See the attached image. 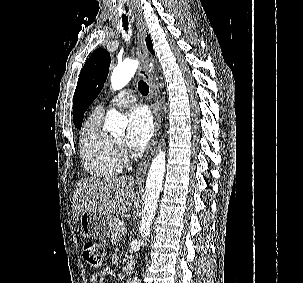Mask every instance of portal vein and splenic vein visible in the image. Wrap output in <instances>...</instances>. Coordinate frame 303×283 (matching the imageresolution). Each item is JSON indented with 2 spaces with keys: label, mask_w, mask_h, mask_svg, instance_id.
<instances>
[{
  "label": "portal vein and splenic vein",
  "mask_w": 303,
  "mask_h": 283,
  "mask_svg": "<svg viewBox=\"0 0 303 283\" xmlns=\"http://www.w3.org/2000/svg\"><path fill=\"white\" fill-rule=\"evenodd\" d=\"M120 224H122V223H120ZM122 233H123V234L127 233V228H126V227H123Z\"/></svg>",
  "instance_id": "obj_1"
}]
</instances>
